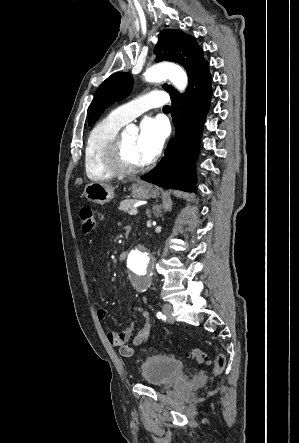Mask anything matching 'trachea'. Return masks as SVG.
Wrapping results in <instances>:
<instances>
[{
    "label": "trachea",
    "instance_id": "3493384b",
    "mask_svg": "<svg viewBox=\"0 0 299 443\" xmlns=\"http://www.w3.org/2000/svg\"><path fill=\"white\" fill-rule=\"evenodd\" d=\"M163 109H164V110H170V106H168V105H167V106H164Z\"/></svg>",
    "mask_w": 299,
    "mask_h": 443
}]
</instances>
